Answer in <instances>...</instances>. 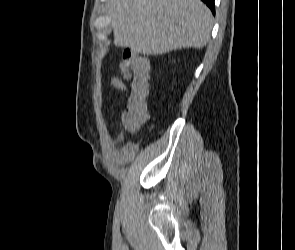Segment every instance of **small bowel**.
I'll return each mask as SVG.
<instances>
[{
  "label": "small bowel",
  "mask_w": 295,
  "mask_h": 250,
  "mask_svg": "<svg viewBox=\"0 0 295 250\" xmlns=\"http://www.w3.org/2000/svg\"><path fill=\"white\" fill-rule=\"evenodd\" d=\"M120 70L124 79L130 78H145L149 79L150 62L141 55L131 53V55L124 57L120 61ZM115 88L124 91V81L118 77L112 80Z\"/></svg>",
  "instance_id": "obj_1"
}]
</instances>
